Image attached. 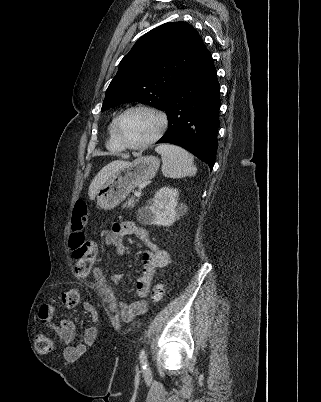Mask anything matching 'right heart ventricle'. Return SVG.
Masks as SVG:
<instances>
[{"mask_svg": "<svg viewBox=\"0 0 321 402\" xmlns=\"http://www.w3.org/2000/svg\"><path fill=\"white\" fill-rule=\"evenodd\" d=\"M114 121H115V119H113L108 125L106 147L108 150H110L114 153H120L124 149L121 147V145L119 144V142L117 141V139L115 137Z\"/></svg>", "mask_w": 321, "mask_h": 402, "instance_id": "1", "label": "right heart ventricle"}]
</instances>
